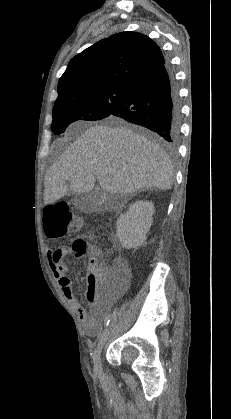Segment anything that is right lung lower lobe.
Here are the masks:
<instances>
[{"instance_id":"right-lung-lower-lobe-1","label":"right lung lower lobe","mask_w":231,"mask_h":419,"mask_svg":"<svg viewBox=\"0 0 231 419\" xmlns=\"http://www.w3.org/2000/svg\"><path fill=\"white\" fill-rule=\"evenodd\" d=\"M158 133L168 145L179 137L180 102L168 63L137 80L125 100L110 114Z\"/></svg>"}]
</instances>
